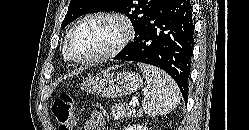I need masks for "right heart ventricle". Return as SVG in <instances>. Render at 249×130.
Returning a JSON list of instances; mask_svg holds the SVG:
<instances>
[{
	"label": "right heart ventricle",
	"mask_w": 249,
	"mask_h": 130,
	"mask_svg": "<svg viewBox=\"0 0 249 130\" xmlns=\"http://www.w3.org/2000/svg\"><path fill=\"white\" fill-rule=\"evenodd\" d=\"M63 55H64V58L67 59L66 56H65V54H64V49H63Z\"/></svg>",
	"instance_id": "1"
}]
</instances>
